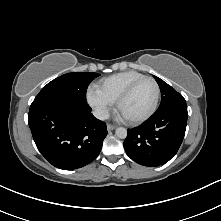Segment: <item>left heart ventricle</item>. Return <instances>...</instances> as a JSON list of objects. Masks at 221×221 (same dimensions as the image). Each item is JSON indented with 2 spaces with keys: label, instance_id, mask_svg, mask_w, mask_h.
I'll return each instance as SVG.
<instances>
[{
  "label": "left heart ventricle",
  "instance_id": "1",
  "mask_svg": "<svg viewBox=\"0 0 221 221\" xmlns=\"http://www.w3.org/2000/svg\"><path fill=\"white\" fill-rule=\"evenodd\" d=\"M155 86L150 80L140 82L121 107V114L127 119L144 115L155 99Z\"/></svg>",
  "mask_w": 221,
  "mask_h": 221
}]
</instances>
